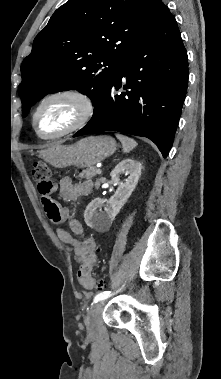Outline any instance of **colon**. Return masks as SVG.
Listing matches in <instances>:
<instances>
[{"instance_id": "colon-1", "label": "colon", "mask_w": 221, "mask_h": 379, "mask_svg": "<svg viewBox=\"0 0 221 379\" xmlns=\"http://www.w3.org/2000/svg\"><path fill=\"white\" fill-rule=\"evenodd\" d=\"M31 175L33 181L37 184L39 193L47 195L53 186L50 168L43 162H36L33 165ZM82 244L84 254L77 277L81 286L91 290L99 287L92 275V267L97 259L98 247L92 237L84 238Z\"/></svg>"}]
</instances>
